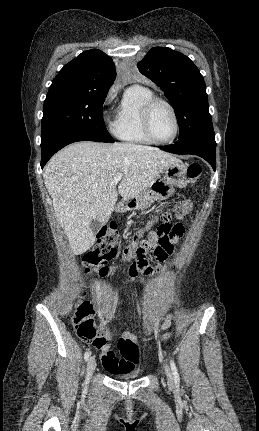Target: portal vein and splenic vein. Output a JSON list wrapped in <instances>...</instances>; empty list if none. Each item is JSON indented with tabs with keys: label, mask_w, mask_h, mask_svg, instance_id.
Returning a JSON list of instances; mask_svg holds the SVG:
<instances>
[{
	"label": "portal vein and splenic vein",
	"mask_w": 259,
	"mask_h": 431,
	"mask_svg": "<svg viewBox=\"0 0 259 431\" xmlns=\"http://www.w3.org/2000/svg\"><path fill=\"white\" fill-rule=\"evenodd\" d=\"M123 178L122 173H117L113 179L114 182H119Z\"/></svg>",
	"instance_id": "obj_1"
}]
</instances>
